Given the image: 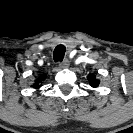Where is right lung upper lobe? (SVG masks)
I'll return each instance as SVG.
<instances>
[{"label": "right lung upper lobe", "instance_id": "obj_1", "mask_svg": "<svg viewBox=\"0 0 133 133\" xmlns=\"http://www.w3.org/2000/svg\"><path fill=\"white\" fill-rule=\"evenodd\" d=\"M46 78L45 75H41L36 81L35 84L33 85L35 88H39L41 85L40 83Z\"/></svg>", "mask_w": 133, "mask_h": 133}]
</instances>
